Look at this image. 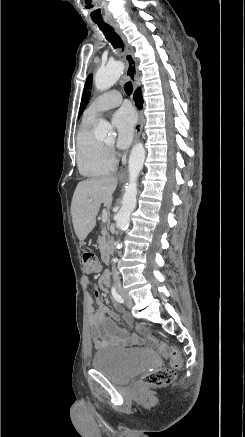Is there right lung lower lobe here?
<instances>
[{
    "label": "right lung lower lobe",
    "instance_id": "98d812e1",
    "mask_svg": "<svg viewBox=\"0 0 245 437\" xmlns=\"http://www.w3.org/2000/svg\"><path fill=\"white\" fill-rule=\"evenodd\" d=\"M134 100L136 102V106L141 109V107L143 106V99H142V92L141 89L138 88L135 93H134Z\"/></svg>",
    "mask_w": 245,
    "mask_h": 437
}]
</instances>
